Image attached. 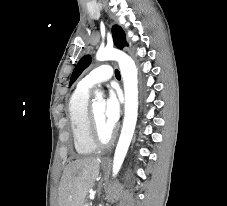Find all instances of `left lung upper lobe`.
I'll return each mask as SVG.
<instances>
[{"label": "left lung upper lobe", "instance_id": "5c2ea615", "mask_svg": "<svg viewBox=\"0 0 227 206\" xmlns=\"http://www.w3.org/2000/svg\"><path fill=\"white\" fill-rule=\"evenodd\" d=\"M112 35L114 44L117 48L123 49L125 46H128L126 42L125 33L119 26L116 25L112 27ZM90 62H91L90 55H85L79 60L72 73L69 86H71L75 82V80L82 73V71L89 66Z\"/></svg>", "mask_w": 227, "mask_h": 206}]
</instances>
